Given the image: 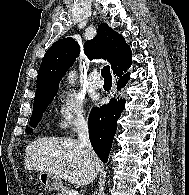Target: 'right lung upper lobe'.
<instances>
[{"label": "right lung upper lobe", "instance_id": "right-lung-upper-lobe-1", "mask_svg": "<svg viewBox=\"0 0 189 195\" xmlns=\"http://www.w3.org/2000/svg\"><path fill=\"white\" fill-rule=\"evenodd\" d=\"M79 52V46L73 38L58 40L47 50L38 72L34 103L56 95L62 76L74 64ZM84 53L90 60H107L118 77L131 66L130 47L124 37L106 23L100 24L97 35L84 44Z\"/></svg>", "mask_w": 189, "mask_h": 195}]
</instances>
